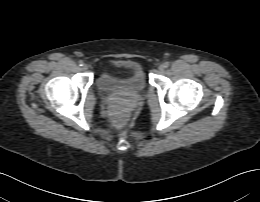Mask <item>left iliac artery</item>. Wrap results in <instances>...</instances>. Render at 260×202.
Segmentation results:
<instances>
[{
  "instance_id": "left-iliac-artery-1",
  "label": "left iliac artery",
  "mask_w": 260,
  "mask_h": 202,
  "mask_svg": "<svg viewBox=\"0 0 260 202\" xmlns=\"http://www.w3.org/2000/svg\"><path fill=\"white\" fill-rule=\"evenodd\" d=\"M163 65H164L165 68H168L170 66V63L169 62H165Z\"/></svg>"
}]
</instances>
